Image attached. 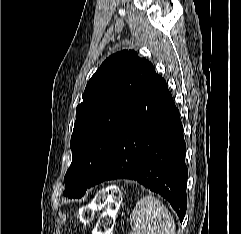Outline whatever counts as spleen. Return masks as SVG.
Returning a JSON list of instances; mask_svg holds the SVG:
<instances>
[{
	"label": "spleen",
	"mask_w": 241,
	"mask_h": 234,
	"mask_svg": "<svg viewBox=\"0 0 241 234\" xmlns=\"http://www.w3.org/2000/svg\"><path fill=\"white\" fill-rule=\"evenodd\" d=\"M130 234H175V223L164 204L154 196L141 198L130 215Z\"/></svg>",
	"instance_id": "3e777b00"
}]
</instances>
